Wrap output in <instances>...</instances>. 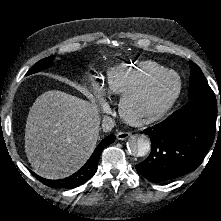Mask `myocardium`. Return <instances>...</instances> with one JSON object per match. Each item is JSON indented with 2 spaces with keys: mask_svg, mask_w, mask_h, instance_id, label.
<instances>
[{
  "mask_svg": "<svg viewBox=\"0 0 221 221\" xmlns=\"http://www.w3.org/2000/svg\"><path fill=\"white\" fill-rule=\"evenodd\" d=\"M169 76H175L177 86L168 99L158 107L149 110H139L136 105L145 97L152 88ZM182 90V81L180 76L172 70H166L151 78L147 83L139 88L126 93L120 102V111L126 121L133 125H145L156 122L163 118L174 106Z\"/></svg>",
  "mask_w": 221,
  "mask_h": 221,
  "instance_id": "myocardium-1",
  "label": "myocardium"
}]
</instances>
